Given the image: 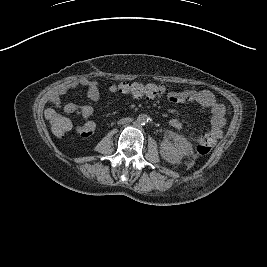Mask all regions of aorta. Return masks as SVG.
Listing matches in <instances>:
<instances>
[{
    "instance_id": "obj_1",
    "label": "aorta",
    "mask_w": 267,
    "mask_h": 267,
    "mask_svg": "<svg viewBox=\"0 0 267 267\" xmlns=\"http://www.w3.org/2000/svg\"><path fill=\"white\" fill-rule=\"evenodd\" d=\"M149 117L146 114H141L137 117V123L139 125H145L148 123Z\"/></svg>"
}]
</instances>
